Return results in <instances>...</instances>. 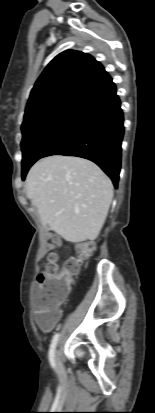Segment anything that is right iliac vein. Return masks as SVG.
Returning a JSON list of instances; mask_svg holds the SVG:
<instances>
[{"instance_id": "63e3f726", "label": "right iliac vein", "mask_w": 155, "mask_h": 413, "mask_svg": "<svg viewBox=\"0 0 155 413\" xmlns=\"http://www.w3.org/2000/svg\"><path fill=\"white\" fill-rule=\"evenodd\" d=\"M55 362H56V365H57L58 369L61 370L62 369V363H61V356H60L59 352H56Z\"/></svg>"}]
</instances>
